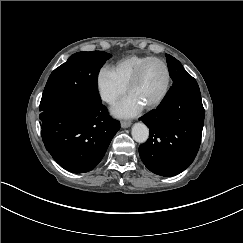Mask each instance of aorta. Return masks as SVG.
Instances as JSON below:
<instances>
[{
  "label": "aorta",
  "instance_id": "aorta-1",
  "mask_svg": "<svg viewBox=\"0 0 243 243\" xmlns=\"http://www.w3.org/2000/svg\"><path fill=\"white\" fill-rule=\"evenodd\" d=\"M131 134L136 142L144 143L149 137V128L144 123H135L132 127Z\"/></svg>",
  "mask_w": 243,
  "mask_h": 243
}]
</instances>
